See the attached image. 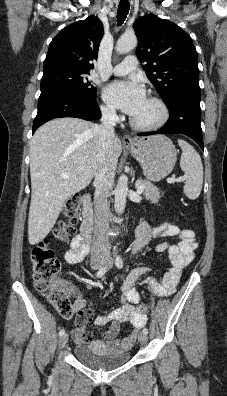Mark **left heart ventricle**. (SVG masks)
<instances>
[{
  "mask_svg": "<svg viewBox=\"0 0 227 396\" xmlns=\"http://www.w3.org/2000/svg\"><path fill=\"white\" fill-rule=\"evenodd\" d=\"M159 116V108L149 99H147L140 110L135 115H133V118L139 123L148 124L155 122Z\"/></svg>",
  "mask_w": 227,
  "mask_h": 396,
  "instance_id": "1",
  "label": "left heart ventricle"
}]
</instances>
